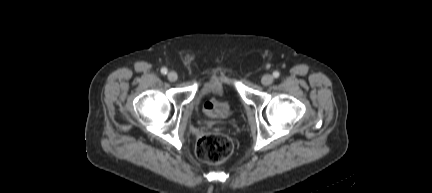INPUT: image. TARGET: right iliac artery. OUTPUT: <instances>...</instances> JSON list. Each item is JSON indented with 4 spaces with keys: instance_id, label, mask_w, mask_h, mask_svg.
<instances>
[{
    "instance_id": "82829eb1",
    "label": "right iliac artery",
    "mask_w": 432,
    "mask_h": 193,
    "mask_svg": "<svg viewBox=\"0 0 432 193\" xmlns=\"http://www.w3.org/2000/svg\"><path fill=\"white\" fill-rule=\"evenodd\" d=\"M167 72H168L167 68L164 67V68L161 69V73L162 74H167Z\"/></svg>"
}]
</instances>
